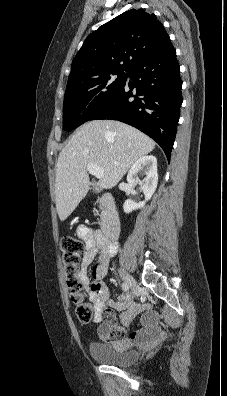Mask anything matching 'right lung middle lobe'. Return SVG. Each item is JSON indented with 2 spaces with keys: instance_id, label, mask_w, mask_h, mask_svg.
<instances>
[{
  "instance_id": "obj_1",
  "label": "right lung middle lobe",
  "mask_w": 227,
  "mask_h": 396,
  "mask_svg": "<svg viewBox=\"0 0 227 396\" xmlns=\"http://www.w3.org/2000/svg\"><path fill=\"white\" fill-rule=\"evenodd\" d=\"M125 72H107L67 87L63 102L64 130L71 131L90 120L124 86L128 75Z\"/></svg>"
}]
</instances>
